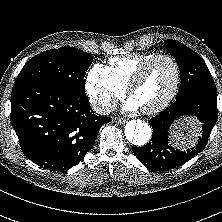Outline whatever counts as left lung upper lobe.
I'll list each match as a JSON object with an SVG mask.
<instances>
[{
  "instance_id": "1",
  "label": "left lung upper lobe",
  "mask_w": 222,
  "mask_h": 222,
  "mask_svg": "<svg viewBox=\"0 0 222 222\" xmlns=\"http://www.w3.org/2000/svg\"><path fill=\"white\" fill-rule=\"evenodd\" d=\"M164 46L177 61L181 73V83L177 96L202 91L217 94L212 75L205 62L193 50L179 41L165 40Z\"/></svg>"
}]
</instances>
